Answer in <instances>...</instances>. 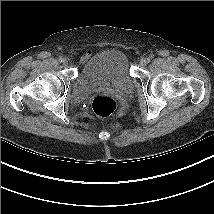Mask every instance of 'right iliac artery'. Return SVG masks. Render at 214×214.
Returning <instances> with one entry per match:
<instances>
[{
	"mask_svg": "<svg viewBox=\"0 0 214 214\" xmlns=\"http://www.w3.org/2000/svg\"><path fill=\"white\" fill-rule=\"evenodd\" d=\"M59 62H63L64 61V58L63 57H59Z\"/></svg>",
	"mask_w": 214,
	"mask_h": 214,
	"instance_id": "1",
	"label": "right iliac artery"
}]
</instances>
